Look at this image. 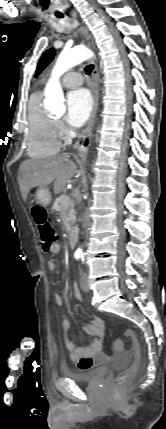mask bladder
<instances>
[{"label": "bladder", "mask_w": 166, "mask_h": 429, "mask_svg": "<svg viewBox=\"0 0 166 429\" xmlns=\"http://www.w3.org/2000/svg\"><path fill=\"white\" fill-rule=\"evenodd\" d=\"M108 372V366H100L88 372H78L71 369L64 370L63 374L77 383H91L103 378Z\"/></svg>", "instance_id": "1"}]
</instances>
